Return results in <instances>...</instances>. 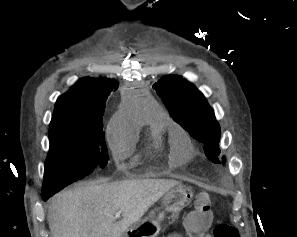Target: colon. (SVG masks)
<instances>
[{
  "mask_svg": "<svg viewBox=\"0 0 297 237\" xmlns=\"http://www.w3.org/2000/svg\"><path fill=\"white\" fill-rule=\"evenodd\" d=\"M213 220L212 198L207 192L196 194L195 208L185 220V229L190 237H206ZM214 237H239L236 228L220 223L214 229Z\"/></svg>",
  "mask_w": 297,
  "mask_h": 237,
  "instance_id": "obj_1",
  "label": "colon"
}]
</instances>
